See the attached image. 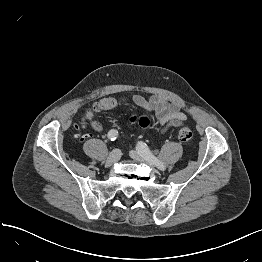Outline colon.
Masks as SVG:
<instances>
[{
	"instance_id": "1",
	"label": "colon",
	"mask_w": 262,
	"mask_h": 262,
	"mask_svg": "<svg viewBox=\"0 0 262 262\" xmlns=\"http://www.w3.org/2000/svg\"><path fill=\"white\" fill-rule=\"evenodd\" d=\"M131 124L137 125L143 129L151 126V121L147 116H133L129 119ZM192 138V131L188 126H181L178 130V139L181 142H188Z\"/></svg>"
}]
</instances>
